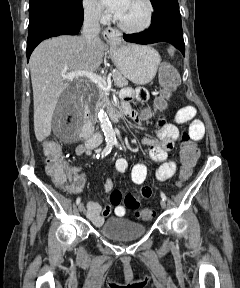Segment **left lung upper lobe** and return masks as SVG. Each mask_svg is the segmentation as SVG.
<instances>
[{
  "instance_id": "5c2ea615",
  "label": "left lung upper lobe",
  "mask_w": 240,
  "mask_h": 288,
  "mask_svg": "<svg viewBox=\"0 0 240 288\" xmlns=\"http://www.w3.org/2000/svg\"><path fill=\"white\" fill-rule=\"evenodd\" d=\"M154 13L151 21H157L164 17L180 18L179 5L177 0H150Z\"/></svg>"
}]
</instances>
